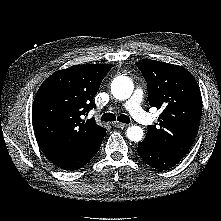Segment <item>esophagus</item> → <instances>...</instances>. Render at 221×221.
<instances>
[{
	"label": "esophagus",
	"mask_w": 221,
	"mask_h": 221,
	"mask_svg": "<svg viewBox=\"0 0 221 221\" xmlns=\"http://www.w3.org/2000/svg\"><path fill=\"white\" fill-rule=\"evenodd\" d=\"M112 125H113L114 127H117V128H124V127H127V126H128V124L121 123V122H118V121L113 122Z\"/></svg>",
	"instance_id": "obj_1"
}]
</instances>
